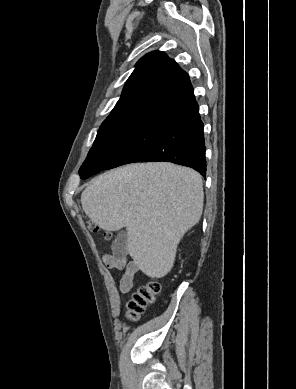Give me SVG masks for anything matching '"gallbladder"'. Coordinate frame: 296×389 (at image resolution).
<instances>
[{"instance_id": "obj_1", "label": "gallbladder", "mask_w": 296, "mask_h": 389, "mask_svg": "<svg viewBox=\"0 0 296 389\" xmlns=\"http://www.w3.org/2000/svg\"><path fill=\"white\" fill-rule=\"evenodd\" d=\"M128 239L127 233L124 230H121L117 233V236L113 242V252L114 254L121 258L124 257L128 250Z\"/></svg>"}]
</instances>
